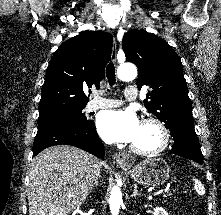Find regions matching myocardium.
<instances>
[{"instance_id":"obj_1","label":"myocardium","mask_w":221,"mask_h":215,"mask_svg":"<svg viewBox=\"0 0 221 215\" xmlns=\"http://www.w3.org/2000/svg\"><path fill=\"white\" fill-rule=\"evenodd\" d=\"M141 123L156 126V128L159 130L161 141L158 146L152 149H143L132 144L130 146L131 151L141 156H155L163 152L170 143V132L165 123L156 117H145L141 120Z\"/></svg>"}]
</instances>
